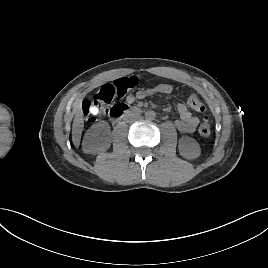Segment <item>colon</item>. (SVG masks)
<instances>
[{
  "mask_svg": "<svg viewBox=\"0 0 268 268\" xmlns=\"http://www.w3.org/2000/svg\"><path fill=\"white\" fill-rule=\"evenodd\" d=\"M139 78L136 76L119 78L112 83H106L100 87L95 93L93 100H86L82 104V111L89 121H94L98 115L107 112L108 107L117 97H124L128 91L137 87ZM188 106L196 112L204 113L206 111L205 104L201 98L196 95H190L187 100ZM97 105L99 112L92 114L90 107ZM199 134L202 138H208L211 135V125L207 117H204L203 122L199 127Z\"/></svg>",
  "mask_w": 268,
  "mask_h": 268,
  "instance_id": "5ec220e1",
  "label": "colon"
}]
</instances>
